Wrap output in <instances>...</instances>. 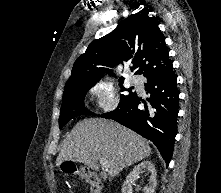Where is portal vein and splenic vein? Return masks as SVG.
Segmentation results:
<instances>
[{
    "label": "portal vein and splenic vein",
    "instance_id": "18ae733b",
    "mask_svg": "<svg viewBox=\"0 0 221 193\" xmlns=\"http://www.w3.org/2000/svg\"><path fill=\"white\" fill-rule=\"evenodd\" d=\"M100 164L105 168H109V164L106 160H100Z\"/></svg>",
    "mask_w": 221,
    "mask_h": 193
}]
</instances>
